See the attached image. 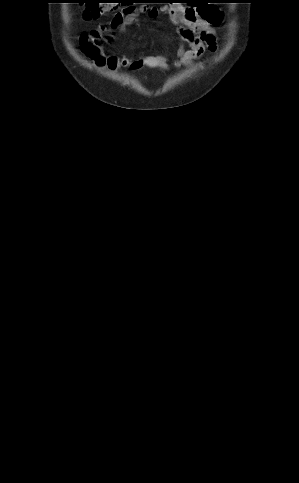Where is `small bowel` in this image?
I'll return each instance as SVG.
<instances>
[{"mask_svg": "<svg viewBox=\"0 0 299 483\" xmlns=\"http://www.w3.org/2000/svg\"><path fill=\"white\" fill-rule=\"evenodd\" d=\"M209 19H203L195 6H163L150 5L127 6L116 13L111 21L103 28L85 33L80 37V46L86 57L99 67L110 70L121 68L138 69L146 66L150 68L170 69L171 67L190 66L196 60L202 59L206 53L217 50V37L213 25L223 20V14L211 4L204 5ZM160 13H167L171 22L177 27V32L184 44L177 49L175 58L170 60L163 55L141 56L128 58L118 56L107 51L110 41L107 37L112 31L125 32L140 15H147L151 19Z\"/></svg>", "mask_w": 299, "mask_h": 483, "instance_id": "c3829d8e", "label": "small bowel"}]
</instances>
